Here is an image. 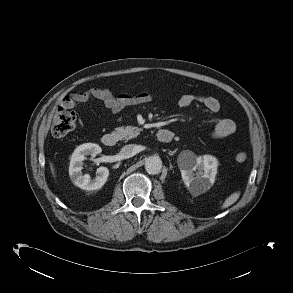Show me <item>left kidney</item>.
<instances>
[{"instance_id": "left-kidney-1", "label": "left kidney", "mask_w": 293, "mask_h": 293, "mask_svg": "<svg viewBox=\"0 0 293 293\" xmlns=\"http://www.w3.org/2000/svg\"><path fill=\"white\" fill-rule=\"evenodd\" d=\"M217 166V159L209 155L194 157L187 164L180 165L182 179L192 195L198 196L210 189Z\"/></svg>"}]
</instances>
